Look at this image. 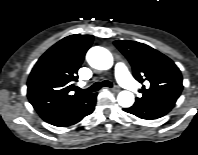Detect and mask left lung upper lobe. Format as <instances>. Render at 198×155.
Wrapping results in <instances>:
<instances>
[{"label": "left lung upper lobe", "mask_w": 198, "mask_h": 155, "mask_svg": "<svg viewBox=\"0 0 198 155\" xmlns=\"http://www.w3.org/2000/svg\"><path fill=\"white\" fill-rule=\"evenodd\" d=\"M114 44L132 65L134 78L142 84L148 81L139 90L142 95L136 103L173 107L183 89L181 72L174 62L143 43L117 40Z\"/></svg>", "instance_id": "left-lung-upper-lobe-1"}]
</instances>
